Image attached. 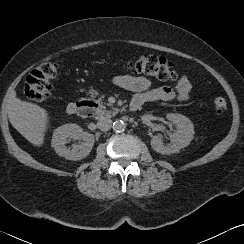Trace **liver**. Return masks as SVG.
<instances>
[{"instance_id":"6515ba94","label":"liver","mask_w":244,"mask_h":244,"mask_svg":"<svg viewBox=\"0 0 244 244\" xmlns=\"http://www.w3.org/2000/svg\"><path fill=\"white\" fill-rule=\"evenodd\" d=\"M7 108L13 127L30 143L41 146L48 124L47 111L34 103L21 101L14 94L10 97Z\"/></svg>"}]
</instances>
